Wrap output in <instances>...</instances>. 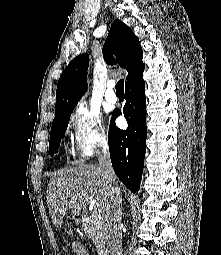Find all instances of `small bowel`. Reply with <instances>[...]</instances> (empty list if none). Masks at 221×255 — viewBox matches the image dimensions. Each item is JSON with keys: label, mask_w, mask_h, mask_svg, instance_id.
Returning <instances> with one entry per match:
<instances>
[{"label": "small bowel", "mask_w": 221, "mask_h": 255, "mask_svg": "<svg viewBox=\"0 0 221 255\" xmlns=\"http://www.w3.org/2000/svg\"><path fill=\"white\" fill-rule=\"evenodd\" d=\"M71 248L75 255H89L86 247L79 241H72Z\"/></svg>", "instance_id": "obj_1"}]
</instances>
